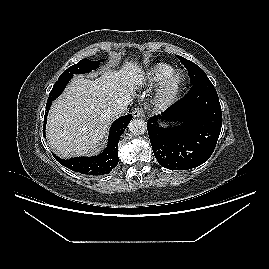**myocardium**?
<instances>
[{
  "mask_svg": "<svg viewBox=\"0 0 269 269\" xmlns=\"http://www.w3.org/2000/svg\"><path fill=\"white\" fill-rule=\"evenodd\" d=\"M186 82L182 71H175L170 75L157 90L154 103L157 108L165 109L171 106L179 97Z\"/></svg>",
  "mask_w": 269,
  "mask_h": 269,
  "instance_id": "f54148a6",
  "label": "myocardium"
}]
</instances>
